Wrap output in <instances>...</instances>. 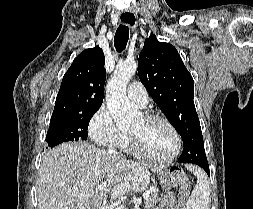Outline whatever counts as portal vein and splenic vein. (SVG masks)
Wrapping results in <instances>:
<instances>
[{
	"label": "portal vein and splenic vein",
	"instance_id": "18ae733b",
	"mask_svg": "<svg viewBox=\"0 0 253 209\" xmlns=\"http://www.w3.org/2000/svg\"><path fill=\"white\" fill-rule=\"evenodd\" d=\"M97 188L99 189V190H105L106 188H107V184H106V182H101V183H99L98 185H97ZM122 190H123V188L122 187H115V188H113V194L115 195V194H119L120 192H122ZM149 196H150V191H145L144 193H143V198L145 199V200H147L148 198H149ZM116 209H124V207L123 206H118Z\"/></svg>",
	"mask_w": 253,
	"mask_h": 209
}]
</instances>
